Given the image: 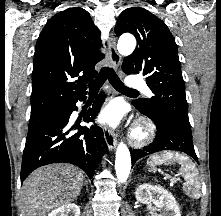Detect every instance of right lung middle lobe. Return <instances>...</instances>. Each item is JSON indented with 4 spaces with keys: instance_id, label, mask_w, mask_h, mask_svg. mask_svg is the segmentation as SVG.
<instances>
[{
    "instance_id": "obj_1",
    "label": "right lung middle lobe",
    "mask_w": 221,
    "mask_h": 216,
    "mask_svg": "<svg viewBox=\"0 0 221 216\" xmlns=\"http://www.w3.org/2000/svg\"><path fill=\"white\" fill-rule=\"evenodd\" d=\"M56 109L31 115L29 120V130L27 138L38 133L55 115Z\"/></svg>"
}]
</instances>
